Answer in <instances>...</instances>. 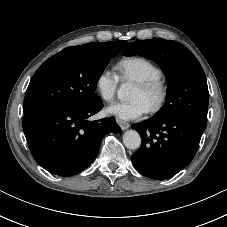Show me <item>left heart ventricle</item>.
Listing matches in <instances>:
<instances>
[{"label": "left heart ventricle", "mask_w": 227, "mask_h": 227, "mask_svg": "<svg viewBox=\"0 0 227 227\" xmlns=\"http://www.w3.org/2000/svg\"><path fill=\"white\" fill-rule=\"evenodd\" d=\"M131 98L141 99L147 105V107H149L155 99V94L146 93L138 85H135Z\"/></svg>", "instance_id": "1"}]
</instances>
